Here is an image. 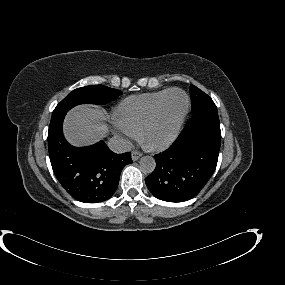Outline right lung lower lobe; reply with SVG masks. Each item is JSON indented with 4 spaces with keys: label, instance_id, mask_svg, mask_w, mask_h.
Segmentation results:
<instances>
[{
    "label": "right lung lower lobe",
    "instance_id": "obj_1",
    "mask_svg": "<svg viewBox=\"0 0 285 285\" xmlns=\"http://www.w3.org/2000/svg\"><path fill=\"white\" fill-rule=\"evenodd\" d=\"M66 113L51 118L48 148L55 176L76 200L98 203L108 200L117 189L123 167L132 163L131 154H116L100 141L88 147H73L64 138Z\"/></svg>",
    "mask_w": 285,
    "mask_h": 285
}]
</instances>
